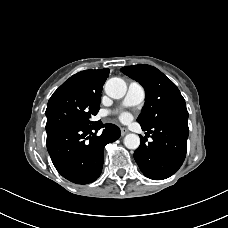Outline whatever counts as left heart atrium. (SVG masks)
I'll use <instances>...</instances> for the list:
<instances>
[{
  "label": "left heart atrium",
  "mask_w": 228,
  "mask_h": 228,
  "mask_svg": "<svg viewBox=\"0 0 228 228\" xmlns=\"http://www.w3.org/2000/svg\"><path fill=\"white\" fill-rule=\"evenodd\" d=\"M127 119H128V115L124 114V115L122 116V120H127Z\"/></svg>",
  "instance_id": "obj_1"
}]
</instances>
